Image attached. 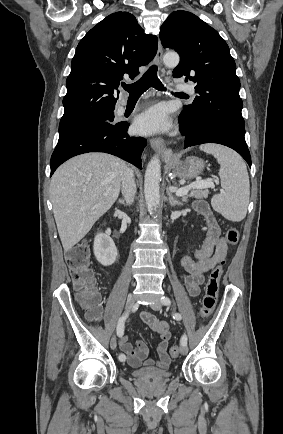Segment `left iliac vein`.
<instances>
[{
  "label": "left iliac vein",
  "instance_id": "1",
  "mask_svg": "<svg viewBox=\"0 0 283 434\" xmlns=\"http://www.w3.org/2000/svg\"><path fill=\"white\" fill-rule=\"evenodd\" d=\"M150 306H151V308H152L153 310H155V311H159V310L161 309V307H162V304H161L160 301H156V302L152 303ZM187 352H188L187 345H182L181 348H180V353H181L182 355H186Z\"/></svg>",
  "mask_w": 283,
  "mask_h": 434
}]
</instances>
